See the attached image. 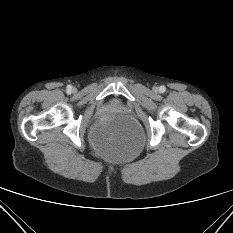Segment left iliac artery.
<instances>
[{
	"instance_id": "left-iliac-artery-1",
	"label": "left iliac artery",
	"mask_w": 233,
	"mask_h": 233,
	"mask_svg": "<svg viewBox=\"0 0 233 233\" xmlns=\"http://www.w3.org/2000/svg\"><path fill=\"white\" fill-rule=\"evenodd\" d=\"M165 90H166V87L165 86H160V92H165Z\"/></svg>"
}]
</instances>
